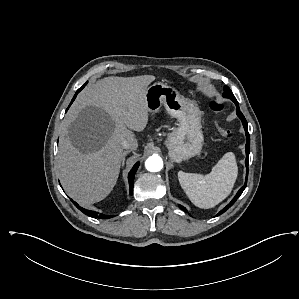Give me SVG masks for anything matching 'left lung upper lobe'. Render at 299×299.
Instances as JSON below:
<instances>
[{"label":"left lung upper lobe","instance_id":"left-lung-upper-lobe-1","mask_svg":"<svg viewBox=\"0 0 299 299\" xmlns=\"http://www.w3.org/2000/svg\"><path fill=\"white\" fill-rule=\"evenodd\" d=\"M223 96L226 97V98H230L231 100L236 99L235 96L233 95L232 91L230 90V88L228 86L224 87Z\"/></svg>","mask_w":299,"mask_h":299}]
</instances>
